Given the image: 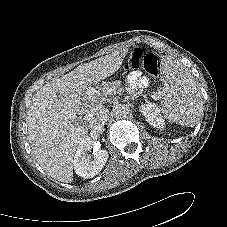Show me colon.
<instances>
[{
    "label": "colon",
    "mask_w": 227,
    "mask_h": 227,
    "mask_svg": "<svg viewBox=\"0 0 227 227\" xmlns=\"http://www.w3.org/2000/svg\"><path fill=\"white\" fill-rule=\"evenodd\" d=\"M140 66L151 76L158 75V59L153 53H144L140 48L130 51L126 58L124 68L127 70H135Z\"/></svg>",
    "instance_id": "5ec220e1"
}]
</instances>
